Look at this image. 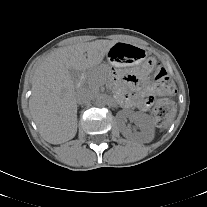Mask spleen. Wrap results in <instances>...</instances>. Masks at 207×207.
Listing matches in <instances>:
<instances>
[{"label": "spleen", "instance_id": "1", "mask_svg": "<svg viewBox=\"0 0 207 207\" xmlns=\"http://www.w3.org/2000/svg\"><path fill=\"white\" fill-rule=\"evenodd\" d=\"M175 116H176V114L174 111L167 113L165 116V120L162 123V127L164 129H167L172 124Z\"/></svg>", "mask_w": 207, "mask_h": 207}]
</instances>
